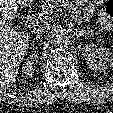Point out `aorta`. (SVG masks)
I'll return each mask as SVG.
<instances>
[{"label":"aorta","instance_id":"762f6f07","mask_svg":"<svg viewBox=\"0 0 113 113\" xmlns=\"http://www.w3.org/2000/svg\"><path fill=\"white\" fill-rule=\"evenodd\" d=\"M70 42V35L66 29L58 28L51 36V43L54 46L62 47L66 46Z\"/></svg>","mask_w":113,"mask_h":113}]
</instances>
